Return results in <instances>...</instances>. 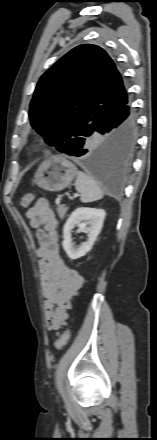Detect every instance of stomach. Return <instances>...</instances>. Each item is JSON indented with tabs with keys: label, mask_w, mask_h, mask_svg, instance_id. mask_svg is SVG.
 I'll list each match as a JSON object with an SVG mask.
<instances>
[{
	"label": "stomach",
	"mask_w": 157,
	"mask_h": 440,
	"mask_svg": "<svg viewBox=\"0 0 157 440\" xmlns=\"http://www.w3.org/2000/svg\"><path fill=\"white\" fill-rule=\"evenodd\" d=\"M75 165L64 157L54 156L43 161L34 175V183L47 191H61L77 174Z\"/></svg>",
	"instance_id": "stomach-1"
}]
</instances>
